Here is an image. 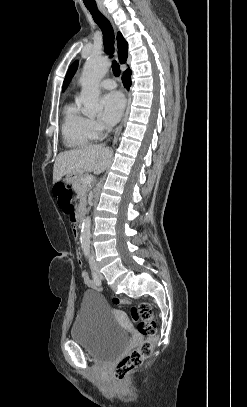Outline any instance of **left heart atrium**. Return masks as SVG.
<instances>
[{"label":"left heart atrium","instance_id":"obj_1","mask_svg":"<svg viewBox=\"0 0 247 407\" xmlns=\"http://www.w3.org/2000/svg\"><path fill=\"white\" fill-rule=\"evenodd\" d=\"M102 117L107 123H116L124 110L125 99L118 91H112L105 94L101 99Z\"/></svg>","mask_w":247,"mask_h":407}]
</instances>
